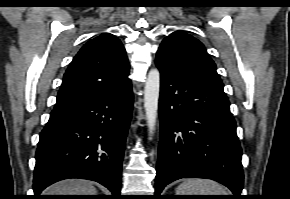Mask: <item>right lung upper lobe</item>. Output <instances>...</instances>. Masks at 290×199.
Segmentation results:
<instances>
[{
  "instance_id": "1",
  "label": "right lung upper lobe",
  "mask_w": 290,
  "mask_h": 199,
  "mask_svg": "<svg viewBox=\"0 0 290 199\" xmlns=\"http://www.w3.org/2000/svg\"><path fill=\"white\" fill-rule=\"evenodd\" d=\"M129 63L120 40L109 33L88 41L66 70L54 108L95 99L124 88Z\"/></svg>"
}]
</instances>
